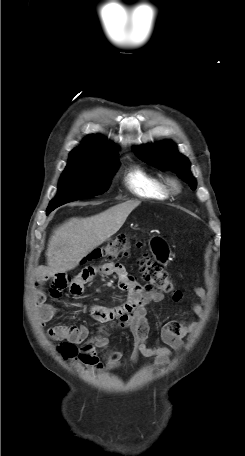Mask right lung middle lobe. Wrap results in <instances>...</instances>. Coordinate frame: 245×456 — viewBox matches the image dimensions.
Instances as JSON below:
<instances>
[{"mask_svg": "<svg viewBox=\"0 0 245 456\" xmlns=\"http://www.w3.org/2000/svg\"><path fill=\"white\" fill-rule=\"evenodd\" d=\"M119 166L114 158L100 163L68 164L61 175L58 193L47 210H54L67 202L103 194Z\"/></svg>", "mask_w": 245, "mask_h": 456, "instance_id": "obj_1", "label": "right lung middle lobe"}]
</instances>
